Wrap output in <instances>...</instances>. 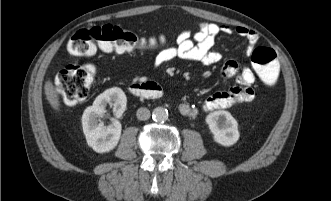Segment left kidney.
<instances>
[{"instance_id":"1","label":"left kidney","mask_w":331,"mask_h":201,"mask_svg":"<svg viewBox=\"0 0 331 201\" xmlns=\"http://www.w3.org/2000/svg\"><path fill=\"white\" fill-rule=\"evenodd\" d=\"M206 123L218 144L231 146L239 140L238 123L230 112L224 110L212 112L207 115Z\"/></svg>"}]
</instances>
